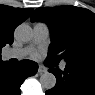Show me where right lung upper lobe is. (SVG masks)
I'll return each instance as SVG.
<instances>
[{"label":"right lung upper lobe","instance_id":"obj_1","mask_svg":"<svg viewBox=\"0 0 95 95\" xmlns=\"http://www.w3.org/2000/svg\"><path fill=\"white\" fill-rule=\"evenodd\" d=\"M32 9L13 8L0 5V53L6 44H12L14 40L15 27L28 19ZM0 62H3L0 59Z\"/></svg>","mask_w":95,"mask_h":95}]
</instances>
